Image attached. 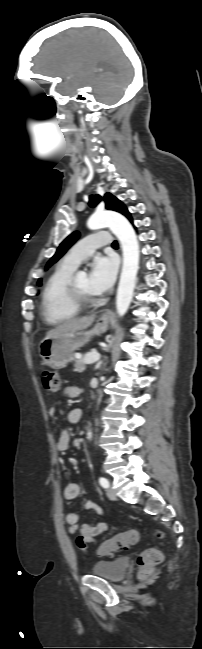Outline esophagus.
I'll use <instances>...</instances> for the list:
<instances>
[{"label": "esophagus", "instance_id": "esophagus-1", "mask_svg": "<svg viewBox=\"0 0 202 649\" xmlns=\"http://www.w3.org/2000/svg\"><path fill=\"white\" fill-rule=\"evenodd\" d=\"M109 315H110V311H106V312L104 313V317H109Z\"/></svg>", "mask_w": 202, "mask_h": 649}]
</instances>
